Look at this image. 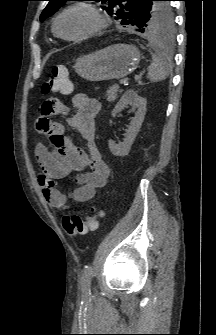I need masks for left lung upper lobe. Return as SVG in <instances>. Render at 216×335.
<instances>
[{
    "instance_id": "5c2ea615",
    "label": "left lung upper lobe",
    "mask_w": 216,
    "mask_h": 335,
    "mask_svg": "<svg viewBox=\"0 0 216 335\" xmlns=\"http://www.w3.org/2000/svg\"><path fill=\"white\" fill-rule=\"evenodd\" d=\"M40 21L53 15L65 2L70 0H48ZM104 4L103 10L119 20L121 25L134 26L137 31L150 34L171 35L174 17L169 0H94Z\"/></svg>"
}]
</instances>
